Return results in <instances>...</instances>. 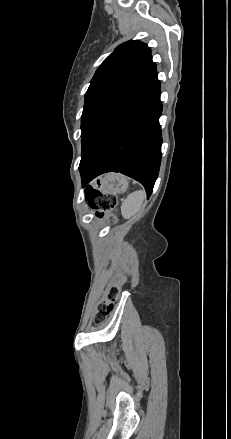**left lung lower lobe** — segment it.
<instances>
[{
  "instance_id": "obj_1",
  "label": "left lung lower lobe",
  "mask_w": 231,
  "mask_h": 439,
  "mask_svg": "<svg viewBox=\"0 0 231 439\" xmlns=\"http://www.w3.org/2000/svg\"><path fill=\"white\" fill-rule=\"evenodd\" d=\"M160 94L155 71L82 138L79 169L83 186L114 171L142 183L150 196L161 163Z\"/></svg>"
}]
</instances>
